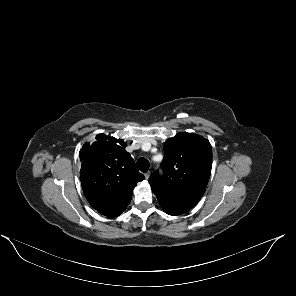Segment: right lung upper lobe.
Instances as JSON below:
<instances>
[{
	"label": "right lung upper lobe",
	"instance_id": "obj_1",
	"mask_svg": "<svg viewBox=\"0 0 296 296\" xmlns=\"http://www.w3.org/2000/svg\"><path fill=\"white\" fill-rule=\"evenodd\" d=\"M125 147L122 139L98 134L80 150L82 189L98 212L127 207L136 184L144 179Z\"/></svg>",
	"mask_w": 296,
	"mask_h": 296
}]
</instances>
